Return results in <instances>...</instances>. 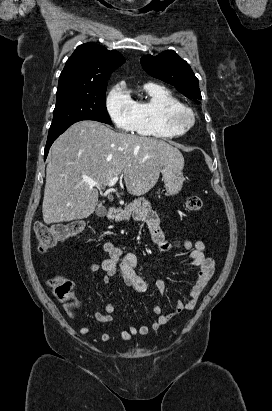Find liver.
<instances>
[{
	"label": "liver",
	"instance_id": "6515ba94",
	"mask_svg": "<svg viewBox=\"0 0 272 411\" xmlns=\"http://www.w3.org/2000/svg\"><path fill=\"white\" fill-rule=\"evenodd\" d=\"M169 162L184 167L181 152L163 140L117 133L95 121L77 122L51 146L43 220L51 224L89 217L98 203V188L88 181L106 186L123 173L127 191L143 195Z\"/></svg>",
	"mask_w": 272,
	"mask_h": 411
}]
</instances>
